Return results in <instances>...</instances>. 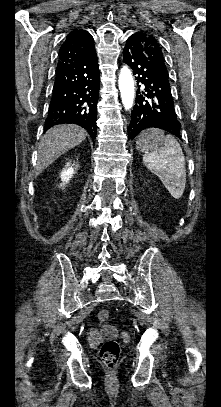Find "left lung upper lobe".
Masks as SVG:
<instances>
[{"label":"left lung upper lobe","instance_id":"obj_1","mask_svg":"<svg viewBox=\"0 0 221 407\" xmlns=\"http://www.w3.org/2000/svg\"><path fill=\"white\" fill-rule=\"evenodd\" d=\"M133 35L136 36L142 51L145 53L149 61L154 63L163 71L167 72L164 56L156 39L153 36L143 32H137Z\"/></svg>","mask_w":221,"mask_h":407}]
</instances>
